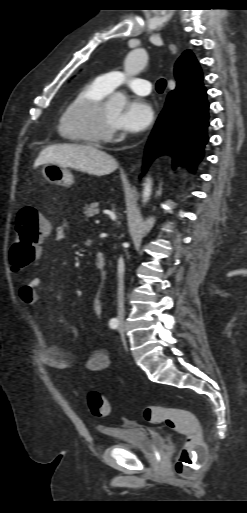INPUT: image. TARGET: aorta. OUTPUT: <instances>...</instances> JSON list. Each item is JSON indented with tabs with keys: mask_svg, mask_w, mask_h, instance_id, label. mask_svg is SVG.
I'll return each instance as SVG.
<instances>
[{
	"mask_svg": "<svg viewBox=\"0 0 247 513\" xmlns=\"http://www.w3.org/2000/svg\"><path fill=\"white\" fill-rule=\"evenodd\" d=\"M148 61L147 52L144 49H135L132 50L126 57L124 61V70L127 75H137L139 74L144 67L146 66ZM126 103V97L123 93L117 92L114 93L109 99V105L114 107L117 110H122ZM153 182L151 178H147L144 183L143 188V202L146 203L151 196Z\"/></svg>",
	"mask_w": 247,
	"mask_h": 513,
	"instance_id": "aorta-1",
	"label": "aorta"
}]
</instances>
